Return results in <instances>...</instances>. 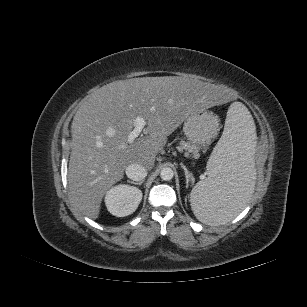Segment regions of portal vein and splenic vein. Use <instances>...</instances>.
<instances>
[{"label":"portal vein and splenic vein","instance_id":"portal-vein-and-splenic-vein-1","mask_svg":"<svg viewBox=\"0 0 307 307\" xmlns=\"http://www.w3.org/2000/svg\"><path fill=\"white\" fill-rule=\"evenodd\" d=\"M146 124V120L142 117H137L135 119L134 129L128 135L129 143H132L140 135V133L144 130Z\"/></svg>","mask_w":307,"mask_h":307}]
</instances>
